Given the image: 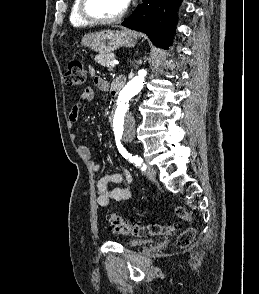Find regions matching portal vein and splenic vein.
Here are the masks:
<instances>
[{
    "mask_svg": "<svg viewBox=\"0 0 259 294\" xmlns=\"http://www.w3.org/2000/svg\"><path fill=\"white\" fill-rule=\"evenodd\" d=\"M117 64H118V61H112L110 65H111L112 67H115Z\"/></svg>",
    "mask_w": 259,
    "mask_h": 294,
    "instance_id": "18ae733b",
    "label": "portal vein and splenic vein"
}]
</instances>
